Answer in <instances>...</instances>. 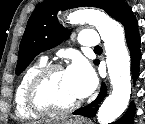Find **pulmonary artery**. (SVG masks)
<instances>
[{
  "label": "pulmonary artery",
  "mask_w": 145,
  "mask_h": 124,
  "mask_svg": "<svg viewBox=\"0 0 145 124\" xmlns=\"http://www.w3.org/2000/svg\"><path fill=\"white\" fill-rule=\"evenodd\" d=\"M79 41L84 47L95 48L100 45L98 33L94 29H86L81 31Z\"/></svg>",
  "instance_id": "1"
}]
</instances>
